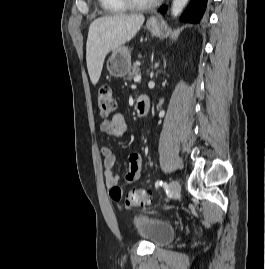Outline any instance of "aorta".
I'll use <instances>...</instances> for the list:
<instances>
[{
    "instance_id": "obj_1",
    "label": "aorta",
    "mask_w": 265,
    "mask_h": 269,
    "mask_svg": "<svg viewBox=\"0 0 265 269\" xmlns=\"http://www.w3.org/2000/svg\"><path fill=\"white\" fill-rule=\"evenodd\" d=\"M188 0H173L171 7V14L173 17L180 15L184 7L186 6Z\"/></svg>"
}]
</instances>
